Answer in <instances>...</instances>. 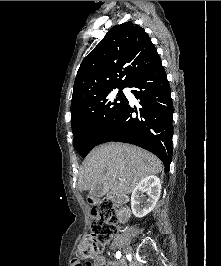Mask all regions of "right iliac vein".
I'll return each instance as SVG.
<instances>
[{
	"label": "right iliac vein",
	"instance_id": "1",
	"mask_svg": "<svg viewBox=\"0 0 221 266\" xmlns=\"http://www.w3.org/2000/svg\"><path fill=\"white\" fill-rule=\"evenodd\" d=\"M124 254H130L131 253V248L126 246L123 250ZM124 260H121V265L123 263Z\"/></svg>",
	"mask_w": 221,
	"mask_h": 266
}]
</instances>
